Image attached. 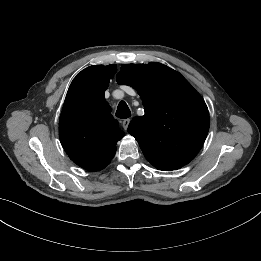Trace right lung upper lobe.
Instances as JSON below:
<instances>
[{"label": "right lung upper lobe", "mask_w": 261, "mask_h": 261, "mask_svg": "<svg viewBox=\"0 0 261 261\" xmlns=\"http://www.w3.org/2000/svg\"><path fill=\"white\" fill-rule=\"evenodd\" d=\"M116 72L115 64L82 70L69 87L60 116L59 137L65 152L88 171L105 168L124 136L104 97Z\"/></svg>", "instance_id": "obj_1"}]
</instances>
